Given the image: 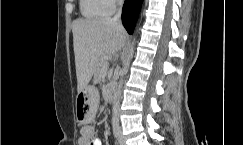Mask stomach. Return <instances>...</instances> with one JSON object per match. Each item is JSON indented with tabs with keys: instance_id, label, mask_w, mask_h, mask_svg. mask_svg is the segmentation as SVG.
Here are the masks:
<instances>
[{
	"instance_id": "0dacf381",
	"label": "stomach",
	"mask_w": 243,
	"mask_h": 145,
	"mask_svg": "<svg viewBox=\"0 0 243 145\" xmlns=\"http://www.w3.org/2000/svg\"><path fill=\"white\" fill-rule=\"evenodd\" d=\"M97 103H100V94H89L87 88L79 92L76 98V119L86 124L93 121Z\"/></svg>"
}]
</instances>
